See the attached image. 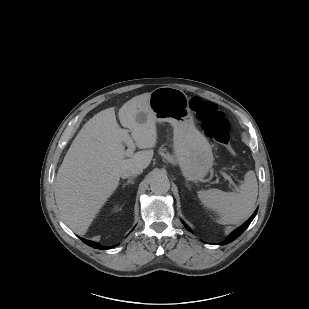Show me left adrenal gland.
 Returning <instances> with one entry per match:
<instances>
[{"mask_svg": "<svg viewBox=\"0 0 309 309\" xmlns=\"http://www.w3.org/2000/svg\"><path fill=\"white\" fill-rule=\"evenodd\" d=\"M186 186L189 188V185H188V184H186Z\"/></svg>", "mask_w": 309, "mask_h": 309, "instance_id": "1", "label": "left adrenal gland"}]
</instances>
